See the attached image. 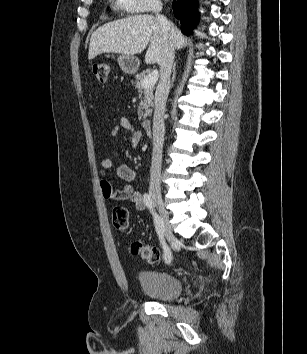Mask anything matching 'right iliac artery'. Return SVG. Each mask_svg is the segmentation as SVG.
<instances>
[{
  "mask_svg": "<svg viewBox=\"0 0 307 354\" xmlns=\"http://www.w3.org/2000/svg\"><path fill=\"white\" fill-rule=\"evenodd\" d=\"M144 202L146 204V206L148 207V209L150 210V212L153 215L154 218V224H155V229L157 231V234L159 236V239L161 241V244L163 246L164 249V260L165 263H170L172 260V253L170 248L168 247V245L165 242L164 239V229H163V223L161 221V218L159 217V215L156 213L155 209H154V205L151 199V196L147 193L144 194L143 196Z\"/></svg>",
  "mask_w": 307,
  "mask_h": 354,
  "instance_id": "right-iliac-artery-1",
  "label": "right iliac artery"
}]
</instances>
